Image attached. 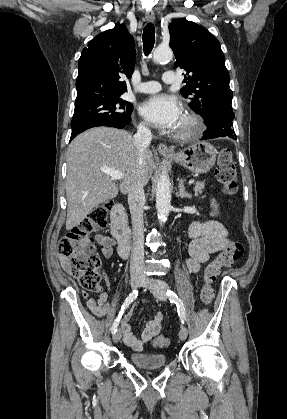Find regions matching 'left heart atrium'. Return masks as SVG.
<instances>
[{"instance_id":"left-heart-atrium-1","label":"left heart atrium","mask_w":287,"mask_h":419,"mask_svg":"<svg viewBox=\"0 0 287 419\" xmlns=\"http://www.w3.org/2000/svg\"><path fill=\"white\" fill-rule=\"evenodd\" d=\"M140 113L154 126L163 129H175L183 118L181 104L175 97L167 94L149 97L141 104Z\"/></svg>"}]
</instances>
